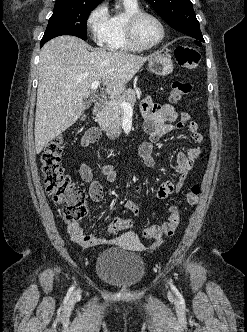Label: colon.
Returning a JSON list of instances; mask_svg holds the SVG:
<instances>
[{"label":"colon","mask_w":247,"mask_h":332,"mask_svg":"<svg viewBox=\"0 0 247 332\" xmlns=\"http://www.w3.org/2000/svg\"><path fill=\"white\" fill-rule=\"evenodd\" d=\"M177 63L186 69L194 70L200 62V53L196 47L181 45L175 50ZM192 91V84L184 81H174L170 88V99L178 101ZM64 140L57 137L51 140L41 154V172L46 192L51 199L62 207V216L69 223H77L88 212L85 192L75 185L74 180L65 173L61 165L64 150ZM200 187L192 185L186 195L189 204L194 205L200 198ZM181 214L176 206L170 208L168 218L161 224L147 227L144 236L159 240L162 237L174 235L180 224ZM131 227V221L125 218H115L108 226L109 233L116 234Z\"/></svg>","instance_id":"1"}]
</instances>
